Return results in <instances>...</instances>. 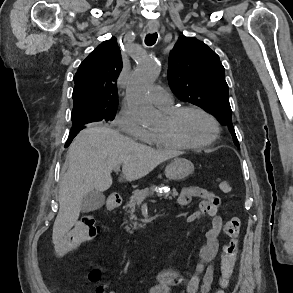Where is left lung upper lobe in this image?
<instances>
[{
    "instance_id": "left-lung-upper-lobe-1",
    "label": "left lung upper lobe",
    "mask_w": 293,
    "mask_h": 293,
    "mask_svg": "<svg viewBox=\"0 0 293 293\" xmlns=\"http://www.w3.org/2000/svg\"><path fill=\"white\" fill-rule=\"evenodd\" d=\"M168 81L172 92L181 100L201 107L228 126L239 147L224 67L215 52L194 37L181 36L170 52Z\"/></svg>"
}]
</instances>
